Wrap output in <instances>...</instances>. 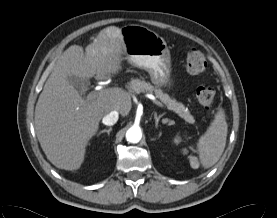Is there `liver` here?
Here are the masks:
<instances>
[{
  "label": "liver",
  "mask_w": 277,
  "mask_h": 218,
  "mask_svg": "<svg viewBox=\"0 0 277 218\" xmlns=\"http://www.w3.org/2000/svg\"><path fill=\"white\" fill-rule=\"evenodd\" d=\"M123 55L121 29L110 26L101 30L85 51L72 45L58 59L38 98L34 117L41 148L57 168L79 169L102 117L114 110L124 117L132 107L130 94L116 87L84 100L68 77L107 80L121 69Z\"/></svg>",
  "instance_id": "1"
}]
</instances>
